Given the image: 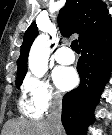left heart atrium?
I'll return each mask as SVG.
<instances>
[{
	"instance_id": "1",
	"label": "left heart atrium",
	"mask_w": 112,
	"mask_h": 135,
	"mask_svg": "<svg viewBox=\"0 0 112 135\" xmlns=\"http://www.w3.org/2000/svg\"><path fill=\"white\" fill-rule=\"evenodd\" d=\"M53 81L60 91H68L77 84V74L71 67H57L52 74Z\"/></svg>"
}]
</instances>
